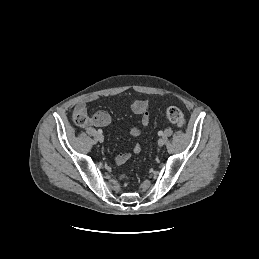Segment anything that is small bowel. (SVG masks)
Listing matches in <instances>:
<instances>
[{"label":"small bowel","instance_id":"obj_1","mask_svg":"<svg viewBox=\"0 0 259 259\" xmlns=\"http://www.w3.org/2000/svg\"><path fill=\"white\" fill-rule=\"evenodd\" d=\"M96 97L90 96L80 100L75 106V116L76 115H85L87 116V105L88 103L96 100ZM131 110L141 116V123L144 127L149 124V113H148V102L146 100H134L130 102ZM110 115L105 111H98L92 117H87L86 125L104 127L110 123ZM132 136H138L141 134V129L139 127H133L130 131ZM141 146L136 144L133 148L134 153H139ZM130 153H121L115 157V162L117 164L125 163L129 158Z\"/></svg>","mask_w":259,"mask_h":259}]
</instances>
